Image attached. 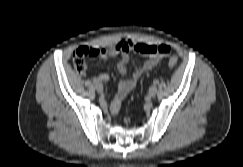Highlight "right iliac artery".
I'll return each instance as SVG.
<instances>
[{
  "label": "right iliac artery",
  "mask_w": 243,
  "mask_h": 167,
  "mask_svg": "<svg viewBox=\"0 0 243 167\" xmlns=\"http://www.w3.org/2000/svg\"><path fill=\"white\" fill-rule=\"evenodd\" d=\"M93 81H94L95 84H100V83H99V80L96 79V78H95Z\"/></svg>",
  "instance_id": "right-iliac-artery-1"
}]
</instances>
